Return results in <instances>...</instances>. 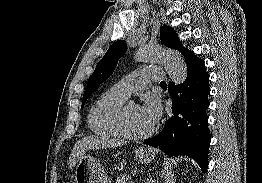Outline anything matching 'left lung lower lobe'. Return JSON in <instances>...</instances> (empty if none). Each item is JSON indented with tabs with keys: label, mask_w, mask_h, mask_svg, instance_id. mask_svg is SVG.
Listing matches in <instances>:
<instances>
[{
	"label": "left lung lower lobe",
	"mask_w": 262,
	"mask_h": 183,
	"mask_svg": "<svg viewBox=\"0 0 262 183\" xmlns=\"http://www.w3.org/2000/svg\"><path fill=\"white\" fill-rule=\"evenodd\" d=\"M187 78L174 86L169 83L172 115L166 121L161 133L146 139L145 144L158 147L168 156L186 155L194 159L203 172L208 167L210 133L206 110L209 106V74L204 61L193 53L185 57Z\"/></svg>",
	"instance_id": "obj_1"
}]
</instances>
